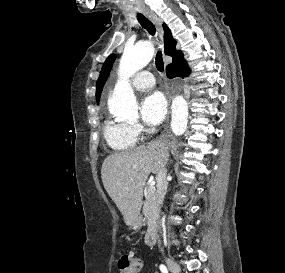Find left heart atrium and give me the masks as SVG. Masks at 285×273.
I'll list each match as a JSON object with an SVG mask.
<instances>
[{
	"instance_id": "obj_1",
	"label": "left heart atrium",
	"mask_w": 285,
	"mask_h": 273,
	"mask_svg": "<svg viewBox=\"0 0 285 273\" xmlns=\"http://www.w3.org/2000/svg\"><path fill=\"white\" fill-rule=\"evenodd\" d=\"M140 113L146 124H160L167 113V102L164 95L159 91L148 94L141 102Z\"/></svg>"
}]
</instances>
